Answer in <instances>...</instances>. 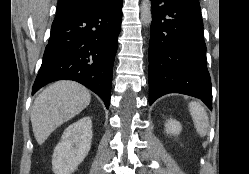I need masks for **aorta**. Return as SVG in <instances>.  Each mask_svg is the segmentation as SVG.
Masks as SVG:
<instances>
[{"label": "aorta", "instance_id": "aorta-1", "mask_svg": "<svg viewBox=\"0 0 249 174\" xmlns=\"http://www.w3.org/2000/svg\"><path fill=\"white\" fill-rule=\"evenodd\" d=\"M141 21L143 25L148 27L152 22L151 2L150 0H142L141 3Z\"/></svg>", "mask_w": 249, "mask_h": 174}]
</instances>
